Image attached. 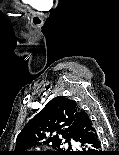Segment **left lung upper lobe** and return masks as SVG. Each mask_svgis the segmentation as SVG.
Returning a JSON list of instances; mask_svg holds the SVG:
<instances>
[{
	"instance_id": "obj_1",
	"label": "left lung upper lobe",
	"mask_w": 119,
	"mask_h": 155,
	"mask_svg": "<svg viewBox=\"0 0 119 155\" xmlns=\"http://www.w3.org/2000/svg\"><path fill=\"white\" fill-rule=\"evenodd\" d=\"M79 112L76 103L64 96L52 99L19 133L13 155H75L77 152L71 150L69 142L74 136ZM62 139L69 143L67 149L60 147ZM43 145L54 151H33Z\"/></svg>"
}]
</instances>
